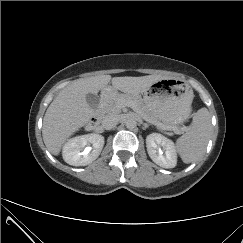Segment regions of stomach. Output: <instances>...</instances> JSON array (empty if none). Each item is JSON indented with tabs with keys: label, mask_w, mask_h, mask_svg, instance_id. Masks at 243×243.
<instances>
[{
	"label": "stomach",
	"mask_w": 243,
	"mask_h": 243,
	"mask_svg": "<svg viewBox=\"0 0 243 243\" xmlns=\"http://www.w3.org/2000/svg\"><path fill=\"white\" fill-rule=\"evenodd\" d=\"M193 98L190 86L178 80H160L143 94V103L162 123L178 126L189 118Z\"/></svg>",
	"instance_id": "0dacf381"
}]
</instances>
